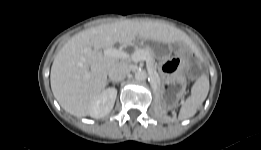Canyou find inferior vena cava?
I'll return each mask as SVG.
<instances>
[{
  "mask_svg": "<svg viewBox=\"0 0 261 150\" xmlns=\"http://www.w3.org/2000/svg\"><path fill=\"white\" fill-rule=\"evenodd\" d=\"M130 73V68L129 66L124 63H118L117 65L113 66L110 70H109V79L113 82H120L123 79H125L128 74Z\"/></svg>",
  "mask_w": 261,
  "mask_h": 150,
  "instance_id": "602c4592",
  "label": "inferior vena cava"
}]
</instances>
